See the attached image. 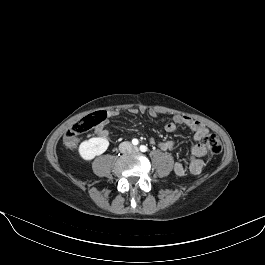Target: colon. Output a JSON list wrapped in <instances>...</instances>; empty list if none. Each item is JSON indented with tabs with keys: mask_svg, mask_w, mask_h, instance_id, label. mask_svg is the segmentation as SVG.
<instances>
[{
	"mask_svg": "<svg viewBox=\"0 0 265 265\" xmlns=\"http://www.w3.org/2000/svg\"><path fill=\"white\" fill-rule=\"evenodd\" d=\"M106 118L104 111L93 112L81 120L67 131L64 137V144L69 148H74L79 143V136L98 126ZM203 143L211 154H219L222 151V143L220 138L214 134H207L203 138Z\"/></svg>",
	"mask_w": 265,
	"mask_h": 265,
	"instance_id": "obj_1",
	"label": "colon"
}]
</instances>
